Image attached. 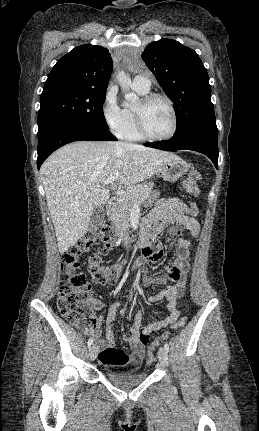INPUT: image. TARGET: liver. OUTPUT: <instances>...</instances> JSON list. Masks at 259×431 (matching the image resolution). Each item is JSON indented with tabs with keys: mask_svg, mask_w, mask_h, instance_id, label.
<instances>
[{
	"mask_svg": "<svg viewBox=\"0 0 259 431\" xmlns=\"http://www.w3.org/2000/svg\"><path fill=\"white\" fill-rule=\"evenodd\" d=\"M176 158L166 151L112 141H77L54 152L40 172L59 251L66 252L87 232L94 206L109 198L104 185L109 176L120 172L118 182L133 186Z\"/></svg>",
	"mask_w": 259,
	"mask_h": 431,
	"instance_id": "liver-1",
	"label": "liver"
}]
</instances>
